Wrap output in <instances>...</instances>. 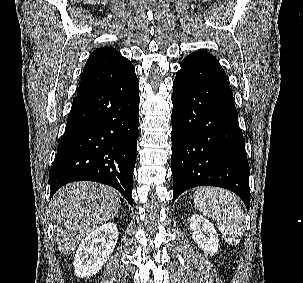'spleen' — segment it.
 Listing matches in <instances>:
<instances>
[{
	"instance_id": "3e777b00",
	"label": "spleen",
	"mask_w": 303,
	"mask_h": 283,
	"mask_svg": "<svg viewBox=\"0 0 303 283\" xmlns=\"http://www.w3.org/2000/svg\"><path fill=\"white\" fill-rule=\"evenodd\" d=\"M197 210L212 218L222 237L230 244L240 242L244 231V214L238 199L229 191L215 187H200L193 195Z\"/></svg>"
}]
</instances>
